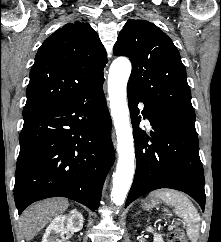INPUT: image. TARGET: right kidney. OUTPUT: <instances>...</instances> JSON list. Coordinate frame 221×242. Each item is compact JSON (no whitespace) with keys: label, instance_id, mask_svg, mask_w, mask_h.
Wrapping results in <instances>:
<instances>
[{"label":"right kidney","instance_id":"obj_1","mask_svg":"<svg viewBox=\"0 0 221 242\" xmlns=\"http://www.w3.org/2000/svg\"><path fill=\"white\" fill-rule=\"evenodd\" d=\"M83 228V216L76 209L67 215L56 216L46 228L42 242H64V234L78 232ZM61 238V239H59Z\"/></svg>","mask_w":221,"mask_h":242}]
</instances>
